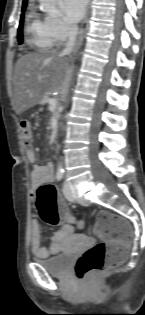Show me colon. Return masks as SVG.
<instances>
[{
  "instance_id": "5ec220e1",
  "label": "colon",
  "mask_w": 145,
  "mask_h": 315,
  "mask_svg": "<svg viewBox=\"0 0 145 315\" xmlns=\"http://www.w3.org/2000/svg\"><path fill=\"white\" fill-rule=\"evenodd\" d=\"M24 146L32 142V126L29 120L20 123ZM37 208L41 219L49 225L61 221H73L64 201L56 188L43 184L37 190ZM82 226L81 223H78ZM94 232L101 242L85 251L77 260L75 274L81 280H92L102 272L111 270L120 264L125 256L126 246L132 238L130 224L115 213L100 211L95 220Z\"/></svg>"
}]
</instances>
